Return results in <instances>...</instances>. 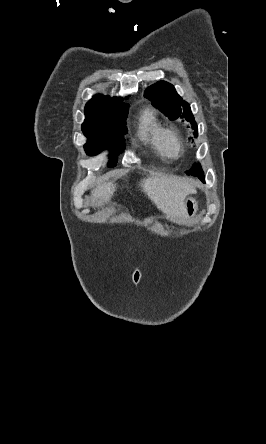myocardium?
Masks as SVG:
<instances>
[{"instance_id": "myocardium-1", "label": "myocardium", "mask_w": 266, "mask_h": 444, "mask_svg": "<svg viewBox=\"0 0 266 444\" xmlns=\"http://www.w3.org/2000/svg\"><path fill=\"white\" fill-rule=\"evenodd\" d=\"M171 136H173L177 139V142H178V152L177 153H173L168 146V138ZM161 144H162V148L167 156L177 157V156L182 155L184 152L183 138H182L181 134L179 133V131L176 130L175 128L167 127L162 130Z\"/></svg>"}]
</instances>
